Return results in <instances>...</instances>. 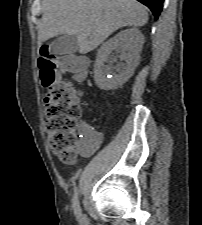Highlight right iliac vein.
<instances>
[{"instance_id":"63e3f726","label":"right iliac vein","mask_w":202,"mask_h":225,"mask_svg":"<svg viewBox=\"0 0 202 225\" xmlns=\"http://www.w3.org/2000/svg\"><path fill=\"white\" fill-rule=\"evenodd\" d=\"M81 220H82V221H83V220H85V217H84V216H82V219H81Z\"/></svg>"}]
</instances>
